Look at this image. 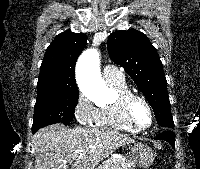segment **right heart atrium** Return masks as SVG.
Here are the masks:
<instances>
[{"mask_svg":"<svg viewBox=\"0 0 200 169\" xmlns=\"http://www.w3.org/2000/svg\"><path fill=\"white\" fill-rule=\"evenodd\" d=\"M97 108L82 93L78 94L74 104V116L81 125H91L95 121Z\"/></svg>","mask_w":200,"mask_h":169,"instance_id":"d8ad5b80","label":"right heart atrium"}]
</instances>
